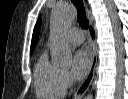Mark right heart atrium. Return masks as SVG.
Masks as SVG:
<instances>
[{
  "label": "right heart atrium",
  "mask_w": 128,
  "mask_h": 99,
  "mask_svg": "<svg viewBox=\"0 0 128 99\" xmlns=\"http://www.w3.org/2000/svg\"><path fill=\"white\" fill-rule=\"evenodd\" d=\"M61 81L65 89L69 88L74 84V79L71 75V73L67 70L61 71Z\"/></svg>",
  "instance_id": "d8ad5b80"
}]
</instances>
